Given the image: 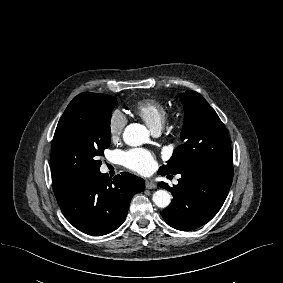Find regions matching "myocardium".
I'll use <instances>...</instances> for the list:
<instances>
[{
	"mask_svg": "<svg viewBox=\"0 0 283 283\" xmlns=\"http://www.w3.org/2000/svg\"><path fill=\"white\" fill-rule=\"evenodd\" d=\"M179 124V119L174 116L171 120L168 121L167 127L168 128H175Z\"/></svg>",
	"mask_w": 283,
	"mask_h": 283,
	"instance_id": "obj_1",
	"label": "myocardium"
}]
</instances>
